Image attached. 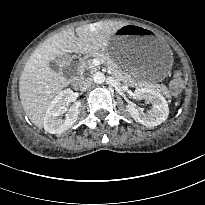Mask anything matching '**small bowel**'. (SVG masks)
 <instances>
[{
    "label": "small bowel",
    "instance_id": "small-bowel-1",
    "mask_svg": "<svg viewBox=\"0 0 205 205\" xmlns=\"http://www.w3.org/2000/svg\"><path fill=\"white\" fill-rule=\"evenodd\" d=\"M170 85L173 90L177 91L180 89L181 81L179 78H174Z\"/></svg>",
    "mask_w": 205,
    "mask_h": 205
}]
</instances>
